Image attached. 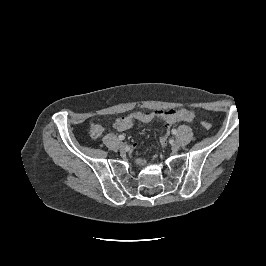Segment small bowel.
Listing matches in <instances>:
<instances>
[{
	"instance_id": "c3829d8e",
	"label": "small bowel",
	"mask_w": 266,
	"mask_h": 266,
	"mask_svg": "<svg viewBox=\"0 0 266 266\" xmlns=\"http://www.w3.org/2000/svg\"><path fill=\"white\" fill-rule=\"evenodd\" d=\"M195 115L188 109H170V110H156V111H137L126 116L116 119L114 128L118 131H126L130 129L135 122L149 123L155 119H161L165 123V133L160 137L162 145L167 144V134L172 125L177 122H191ZM104 132L102 125L93 123L90 127V135L92 138H99Z\"/></svg>"
}]
</instances>
